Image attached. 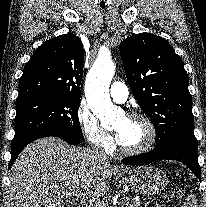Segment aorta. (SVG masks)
<instances>
[{
    "label": "aorta",
    "instance_id": "762f6f07",
    "mask_svg": "<svg viewBox=\"0 0 206 207\" xmlns=\"http://www.w3.org/2000/svg\"><path fill=\"white\" fill-rule=\"evenodd\" d=\"M115 68V64L110 58L98 57L85 82V96L88 106L104 127L112 123L119 113L109 95V84L115 73Z\"/></svg>",
    "mask_w": 206,
    "mask_h": 207
}]
</instances>
